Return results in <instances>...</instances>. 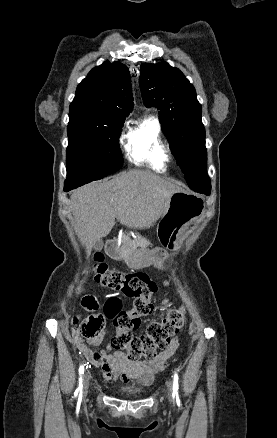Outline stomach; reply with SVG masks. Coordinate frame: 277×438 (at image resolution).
Returning <instances> with one entry per match:
<instances>
[{
    "label": "stomach",
    "instance_id": "0dacf381",
    "mask_svg": "<svg viewBox=\"0 0 277 438\" xmlns=\"http://www.w3.org/2000/svg\"><path fill=\"white\" fill-rule=\"evenodd\" d=\"M203 212L204 203L197 195L185 190L173 193L167 210L157 226V235L163 247L136 252L131 260V266L141 268L153 265L162 268L168 251L179 249L182 228L199 218Z\"/></svg>",
    "mask_w": 277,
    "mask_h": 438
}]
</instances>
